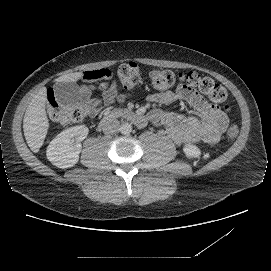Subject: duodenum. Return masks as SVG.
<instances>
[{"instance_id":"obj_1","label":"duodenum","mask_w":271,"mask_h":271,"mask_svg":"<svg viewBox=\"0 0 271 271\" xmlns=\"http://www.w3.org/2000/svg\"><path fill=\"white\" fill-rule=\"evenodd\" d=\"M119 118H124V119L130 120L139 126L144 125L146 122L145 118L142 115H140L134 111L115 110V111H112V112L105 114L102 117V119L99 123L100 129L104 133H111L115 128L117 119H119Z\"/></svg>"}]
</instances>
